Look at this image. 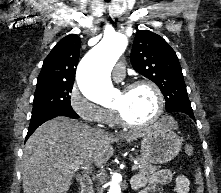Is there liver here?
<instances>
[{"instance_id": "1", "label": "liver", "mask_w": 221, "mask_h": 193, "mask_svg": "<svg viewBox=\"0 0 221 193\" xmlns=\"http://www.w3.org/2000/svg\"><path fill=\"white\" fill-rule=\"evenodd\" d=\"M161 124L176 129V121L163 117ZM149 129L114 136L77 120L60 116L39 126L23 149L21 174L24 193H67L74 172L65 170L76 161L89 167L113 155L112 143L138 139ZM77 169V168H75Z\"/></svg>"}]
</instances>
